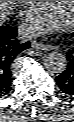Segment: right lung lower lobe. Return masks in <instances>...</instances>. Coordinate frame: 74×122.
I'll return each mask as SVG.
<instances>
[{"label":"right lung lower lobe","mask_w":74,"mask_h":122,"mask_svg":"<svg viewBox=\"0 0 74 122\" xmlns=\"http://www.w3.org/2000/svg\"><path fill=\"white\" fill-rule=\"evenodd\" d=\"M16 36L17 28L0 26V98L11 90L10 67L14 59L30 48V42L20 43Z\"/></svg>","instance_id":"right-lung-lower-lobe-1"}]
</instances>
